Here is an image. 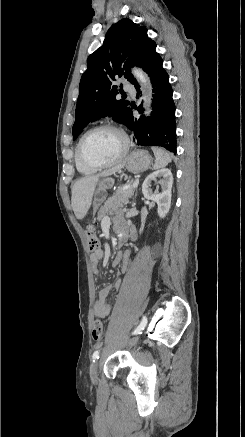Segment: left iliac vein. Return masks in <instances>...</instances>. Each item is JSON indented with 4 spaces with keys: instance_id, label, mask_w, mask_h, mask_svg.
Segmentation results:
<instances>
[{
    "instance_id": "4c4485c4",
    "label": "left iliac vein",
    "mask_w": 245,
    "mask_h": 437,
    "mask_svg": "<svg viewBox=\"0 0 245 437\" xmlns=\"http://www.w3.org/2000/svg\"><path fill=\"white\" fill-rule=\"evenodd\" d=\"M137 340H138L137 337L134 338V339H132V340L128 343V345H133V344H135V343L137 342ZM98 366H99V361H98V360L94 361V362L91 364V366H90V378H91L92 383H94V384L97 383V379H98Z\"/></svg>"
}]
</instances>
